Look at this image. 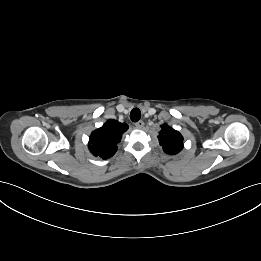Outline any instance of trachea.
Returning a JSON list of instances; mask_svg holds the SVG:
<instances>
[{
  "instance_id": "1",
  "label": "trachea",
  "mask_w": 261,
  "mask_h": 261,
  "mask_svg": "<svg viewBox=\"0 0 261 261\" xmlns=\"http://www.w3.org/2000/svg\"><path fill=\"white\" fill-rule=\"evenodd\" d=\"M140 118H141V111L138 108L132 109V111L130 113V119L133 122H137L140 120Z\"/></svg>"
}]
</instances>
